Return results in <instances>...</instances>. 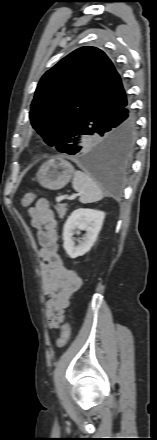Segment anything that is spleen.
I'll list each match as a JSON object with an SVG mask.
<instances>
[{
	"label": "spleen",
	"mask_w": 157,
	"mask_h": 440,
	"mask_svg": "<svg viewBox=\"0 0 157 440\" xmlns=\"http://www.w3.org/2000/svg\"><path fill=\"white\" fill-rule=\"evenodd\" d=\"M72 186L80 194L79 201L83 204L94 203L103 198V192L98 184L81 171H75Z\"/></svg>",
	"instance_id": "obj_1"
}]
</instances>
